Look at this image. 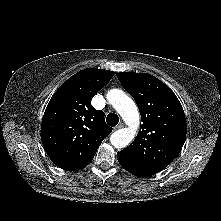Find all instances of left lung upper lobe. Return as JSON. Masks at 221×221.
<instances>
[{"label": "left lung upper lobe", "instance_id": "left-lung-upper-lobe-1", "mask_svg": "<svg viewBox=\"0 0 221 221\" xmlns=\"http://www.w3.org/2000/svg\"><path fill=\"white\" fill-rule=\"evenodd\" d=\"M122 86L135 99L143 124L124 154L158 170L179 154L186 138L183 108L172 90L148 73L117 74Z\"/></svg>", "mask_w": 221, "mask_h": 221}]
</instances>
